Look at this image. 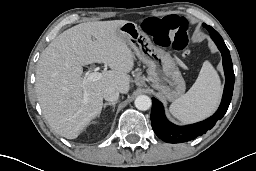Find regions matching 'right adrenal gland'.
Segmentation results:
<instances>
[{"instance_id":"1","label":"right adrenal gland","mask_w":256,"mask_h":171,"mask_svg":"<svg viewBox=\"0 0 256 171\" xmlns=\"http://www.w3.org/2000/svg\"><path fill=\"white\" fill-rule=\"evenodd\" d=\"M116 103H117V101L105 103V104H103V108L105 109L107 106H112L113 111H114Z\"/></svg>"}]
</instances>
